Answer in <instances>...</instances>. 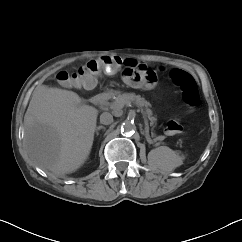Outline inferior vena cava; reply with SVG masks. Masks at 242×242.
<instances>
[{
    "mask_svg": "<svg viewBox=\"0 0 242 242\" xmlns=\"http://www.w3.org/2000/svg\"><path fill=\"white\" fill-rule=\"evenodd\" d=\"M100 122L104 125H109L113 122V116L109 112H103L100 115Z\"/></svg>",
    "mask_w": 242,
    "mask_h": 242,
    "instance_id": "inferior-vena-cava-1",
    "label": "inferior vena cava"
}]
</instances>
